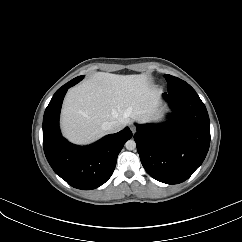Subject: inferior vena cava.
I'll return each instance as SVG.
<instances>
[{
  "instance_id": "inferior-vena-cava-1",
  "label": "inferior vena cava",
  "mask_w": 242,
  "mask_h": 242,
  "mask_svg": "<svg viewBox=\"0 0 242 242\" xmlns=\"http://www.w3.org/2000/svg\"><path fill=\"white\" fill-rule=\"evenodd\" d=\"M122 128H123V125L120 122H118V121L107 122L104 125V129L108 133H116V132H119Z\"/></svg>"
}]
</instances>
